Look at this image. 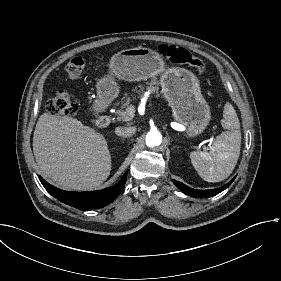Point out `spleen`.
I'll use <instances>...</instances> for the list:
<instances>
[{
    "mask_svg": "<svg viewBox=\"0 0 281 281\" xmlns=\"http://www.w3.org/2000/svg\"><path fill=\"white\" fill-rule=\"evenodd\" d=\"M222 126L227 131L218 135L210 151L190 153L191 163L199 176L207 182H220L234 170L241 147L240 122L235 109L226 103L223 111Z\"/></svg>",
    "mask_w": 281,
    "mask_h": 281,
    "instance_id": "1",
    "label": "spleen"
}]
</instances>
